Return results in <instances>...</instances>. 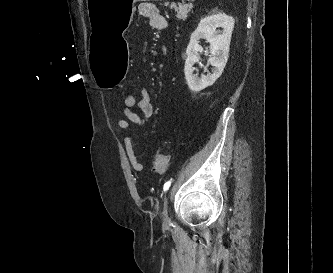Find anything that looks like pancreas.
<instances>
[{"instance_id":"1","label":"pancreas","mask_w":333,"mask_h":273,"mask_svg":"<svg viewBox=\"0 0 333 273\" xmlns=\"http://www.w3.org/2000/svg\"><path fill=\"white\" fill-rule=\"evenodd\" d=\"M170 8H174L175 11L177 12L176 14V17L179 19V20H186L187 19V14L190 12L191 8H192V4H183V3H180L178 5V7L175 5V4H171L170 5Z\"/></svg>"}]
</instances>
